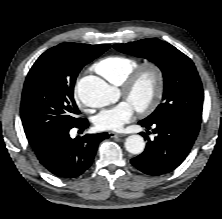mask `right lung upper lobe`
Masks as SVG:
<instances>
[{
    "label": "right lung upper lobe",
    "mask_w": 222,
    "mask_h": 219,
    "mask_svg": "<svg viewBox=\"0 0 222 219\" xmlns=\"http://www.w3.org/2000/svg\"><path fill=\"white\" fill-rule=\"evenodd\" d=\"M81 45H88V44H81ZM107 45V44H106ZM109 46V45H108ZM45 141V139H37V140H32V141H29V143L31 144L32 148L33 149H36L38 147H40L42 145V143Z\"/></svg>",
    "instance_id": "obj_1"
}]
</instances>
